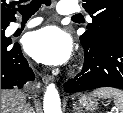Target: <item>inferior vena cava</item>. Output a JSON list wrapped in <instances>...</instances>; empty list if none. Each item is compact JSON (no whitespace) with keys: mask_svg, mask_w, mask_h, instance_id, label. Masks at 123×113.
Here are the masks:
<instances>
[{"mask_svg":"<svg viewBox=\"0 0 123 113\" xmlns=\"http://www.w3.org/2000/svg\"><path fill=\"white\" fill-rule=\"evenodd\" d=\"M29 111L30 110H28L27 108H25L24 113H30Z\"/></svg>","mask_w":123,"mask_h":113,"instance_id":"inferior-vena-cava-1","label":"inferior vena cava"}]
</instances>
